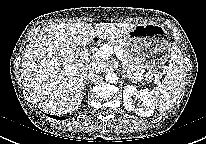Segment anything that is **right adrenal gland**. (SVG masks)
I'll return each instance as SVG.
<instances>
[{
  "label": "right adrenal gland",
  "mask_w": 206,
  "mask_h": 144,
  "mask_svg": "<svg viewBox=\"0 0 206 144\" xmlns=\"http://www.w3.org/2000/svg\"><path fill=\"white\" fill-rule=\"evenodd\" d=\"M89 80H92V79H86V81H89ZM86 81H84V82H86ZM84 88H85V90H86L85 83H84Z\"/></svg>",
  "instance_id": "obj_1"
}]
</instances>
